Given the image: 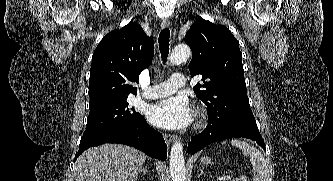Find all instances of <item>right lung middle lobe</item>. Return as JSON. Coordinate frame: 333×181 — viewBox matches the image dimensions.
<instances>
[{"label":"right lung middle lobe","mask_w":333,"mask_h":181,"mask_svg":"<svg viewBox=\"0 0 333 181\" xmlns=\"http://www.w3.org/2000/svg\"><path fill=\"white\" fill-rule=\"evenodd\" d=\"M141 115L128 107L126 99L90 108L86 130L83 135L93 134L112 128L126 126Z\"/></svg>","instance_id":"obj_1"}]
</instances>
